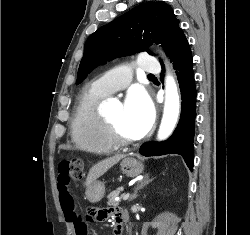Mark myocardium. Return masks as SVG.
Listing matches in <instances>:
<instances>
[{
  "instance_id": "obj_1",
  "label": "myocardium",
  "mask_w": 250,
  "mask_h": 235,
  "mask_svg": "<svg viewBox=\"0 0 250 235\" xmlns=\"http://www.w3.org/2000/svg\"><path fill=\"white\" fill-rule=\"evenodd\" d=\"M104 120L107 124L108 130H109V134L110 137L112 139V141L114 142V144L118 147H128L131 145H134L138 142V140H128L126 139L122 133L120 132L119 128L117 127V125L112 122L109 118L104 117Z\"/></svg>"
}]
</instances>
